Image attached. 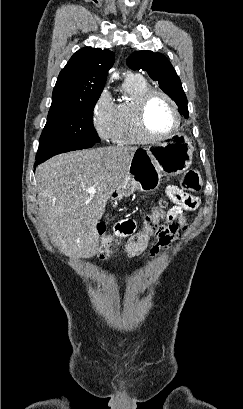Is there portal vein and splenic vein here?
I'll list each match as a JSON object with an SVG mask.
<instances>
[{
  "mask_svg": "<svg viewBox=\"0 0 243 409\" xmlns=\"http://www.w3.org/2000/svg\"><path fill=\"white\" fill-rule=\"evenodd\" d=\"M87 192H88V194L90 196H94L95 193H96V189H95V187H90V188H88Z\"/></svg>",
  "mask_w": 243,
  "mask_h": 409,
  "instance_id": "18ae733b",
  "label": "portal vein and splenic vein"
}]
</instances>
